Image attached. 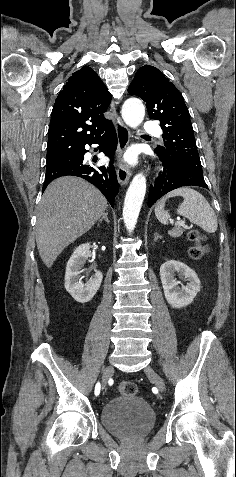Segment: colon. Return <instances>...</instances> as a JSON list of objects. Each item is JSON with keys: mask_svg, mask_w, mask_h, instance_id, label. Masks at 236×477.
Returning a JSON list of instances; mask_svg holds the SVG:
<instances>
[{"mask_svg": "<svg viewBox=\"0 0 236 477\" xmlns=\"http://www.w3.org/2000/svg\"><path fill=\"white\" fill-rule=\"evenodd\" d=\"M189 239L193 243L189 250L190 256L195 260H200L207 253V247L204 244V235L197 230H193L189 233ZM117 388L121 394L125 395H135L137 392L135 383L131 381H122L118 384Z\"/></svg>", "mask_w": 236, "mask_h": 477, "instance_id": "colon-1", "label": "colon"}]
</instances>
